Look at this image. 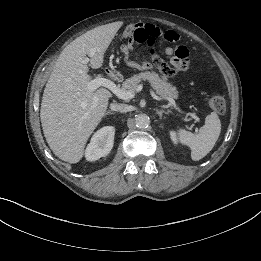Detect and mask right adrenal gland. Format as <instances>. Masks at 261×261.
Instances as JSON below:
<instances>
[{"label":"right adrenal gland","instance_id":"2a0ac1e0","mask_svg":"<svg viewBox=\"0 0 261 261\" xmlns=\"http://www.w3.org/2000/svg\"><path fill=\"white\" fill-rule=\"evenodd\" d=\"M113 114H115L114 112H111V111H108L107 113H106V115H113Z\"/></svg>","mask_w":261,"mask_h":261}]
</instances>
